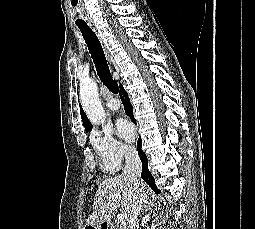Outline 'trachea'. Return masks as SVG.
Here are the masks:
<instances>
[{"instance_id": "trachea-1", "label": "trachea", "mask_w": 255, "mask_h": 229, "mask_svg": "<svg viewBox=\"0 0 255 229\" xmlns=\"http://www.w3.org/2000/svg\"><path fill=\"white\" fill-rule=\"evenodd\" d=\"M76 25L85 39L99 78L112 93L117 94L119 91L118 83L110 75L106 57L97 35L85 22L76 23Z\"/></svg>"}]
</instances>
